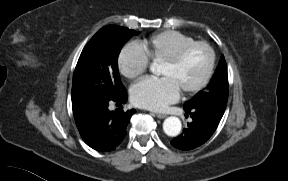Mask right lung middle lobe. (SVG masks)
Returning a JSON list of instances; mask_svg holds the SVG:
<instances>
[{"instance_id": "dd1d6c3e", "label": "right lung middle lobe", "mask_w": 288, "mask_h": 181, "mask_svg": "<svg viewBox=\"0 0 288 181\" xmlns=\"http://www.w3.org/2000/svg\"><path fill=\"white\" fill-rule=\"evenodd\" d=\"M137 34L125 27L109 25L91 38L74 71L72 106L93 108L125 91L118 73V56L123 45Z\"/></svg>"}]
</instances>
